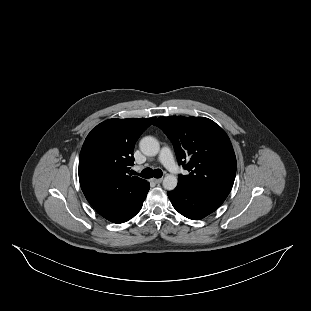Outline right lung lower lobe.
Returning a JSON list of instances; mask_svg holds the SVG:
<instances>
[{
    "mask_svg": "<svg viewBox=\"0 0 311 311\" xmlns=\"http://www.w3.org/2000/svg\"><path fill=\"white\" fill-rule=\"evenodd\" d=\"M148 191H149V185L147 186L145 193L136 201V203L133 205V207L129 209L126 216L123 217L120 221L115 222V223L126 222L129 219H131L133 216H135L140 211L142 204H143V201L145 200Z\"/></svg>",
    "mask_w": 311,
    "mask_h": 311,
    "instance_id": "obj_1",
    "label": "right lung lower lobe"
}]
</instances>
